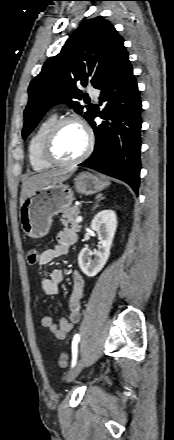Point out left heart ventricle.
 <instances>
[{
  "instance_id": "b2bd125f",
  "label": "left heart ventricle",
  "mask_w": 174,
  "mask_h": 440,
  "mask_svg": "<svg viewBox=\"0 0 174 440\" xmlns=\"http://www.w3.org/2000/svg\"><path fill=\"white\" fill-rule=\"evenodd\" d=\"M87 137L77 123H67L59 130L54 141V154L60 160H72L85 149Z\"/></svg>"
}]
</instances>
